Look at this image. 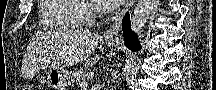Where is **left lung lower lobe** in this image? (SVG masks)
Returning a JSON list of instances; mask_svg holds the SVG:
<instances>
[{"mask_svg":"<svg viewBox=\"0 0 216 90\" xmlns=\"http://www.w3.org/2000/svg\"><path fill=\"white\" fill-rule=\"evenodd\" d=\"M122 26H123L125 45L128 48H130L132 51L139 50L141 46L137 41L136 34L131 30L130 17L128 13L124 16L122 20Z\"/></svg>","mask_w":216,"mask_h":90,"instance_id":"left-lung-lower-lobe-1","label":"left lung lower lobe"}]
</instances>
